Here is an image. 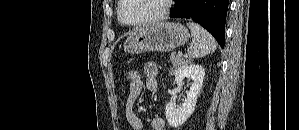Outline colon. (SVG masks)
Returning <instances> with one entry per match:
<instances>
[{
  "instance_id": "colon-1",
  "label": "colon",
  "mask_w": 299,
  "mask_h": 130,
  "mask_svg": "<svg viewBox=\"0 0 299 130\" xmlns=\"http://www.w3.org/2000/svg\"><path fill=\"white\" fill-rule=\"evenodd\" d=\"M127 79L129 81V85H134L142 80L141 73L136 69H130L127 73Z\"/></svg>"
}]
</instances>
